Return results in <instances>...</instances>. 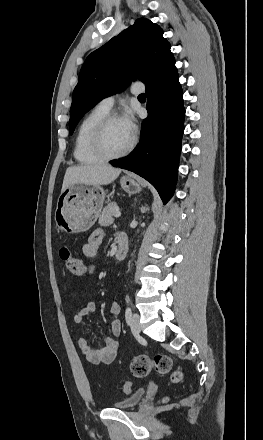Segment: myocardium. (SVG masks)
I'll list each match as a JSON object with an SVG mask.
<instances>
[{
    "label": "myocardium",
    "mask_w": 263,
    "mask_h": 440,
    "mask_svg": "<svg viewBox=\"0 0 263 440\" xmlns=\"http://www.w3.org/2000/svg\"><path fill=\"white\" fill-rule=\"evenodd\" d=\"M121 120L120 116L117 114L108 113L104 116L94 127L91 135V147L96 155H98L103 160H114L126 156L134 147L136 138L132 135L128 145L121 151L117 153H111L107 150L105 146V131L110 123Z\"/></svg>",
    "instance_id": "f54148a6"
}]
</instances>
